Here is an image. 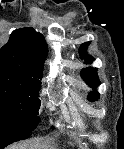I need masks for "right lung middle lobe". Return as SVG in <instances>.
<instances>
[{
  "label": "right lung middle lobe",
  "mask_w": 124,
  "mask_h": 149,
  "mask_svg": "<svg viewBox=\"0 0 124 149\" xmlns=\"http://www.w3.org/2000/svg\"><path fill=\"white\" fill-rule=\"evenodd\" d=\"M39 89L0 75V134L19 136L36 129L40 121Z\"/></svg>",
  "instance_id": "obj_1"
}]
</instances>
